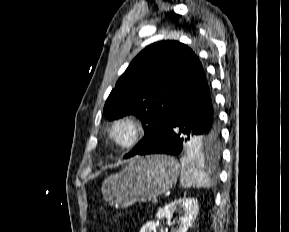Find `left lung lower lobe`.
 <instances>
[{
	"mask_svg": "<svg viewBox=\"0 0 289 232\" xmlns=\"http://www.w3.org/2000/svg\"><path fill=\"white\" fill-rule=\"evenodd\" d=\"M218 134V117L203 71L178 102L163 132L136 154L187 153L195 150V142L211 143Z\"/></svg>",
	"mask_w": 289,
	"mask_h": 232,
	"instance_id": "left-lung-lower-lobe-1",
	"label": "left lung lower lobe"
}]
</instances>
